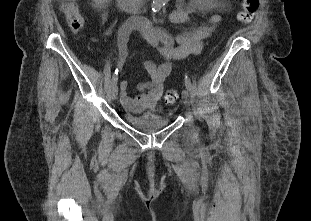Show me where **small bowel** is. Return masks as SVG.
Here are the masks:
<instances>
[{
    "instance_id": "small-bowel-1",
    "label": "small bowel",
    "mask_w": 311,
    "mask_h": 221,
    "mask_svg": "<svg viewBox=\"0 0 311 221\" xmlns=\"http://www.w3.org/2000/svg\"><path fill=\"white\" fill-rule=\"evenodd\" d=\"M196 10L197 8L194 5L179 0L176 9L167 15L166 20L174 24H191V13ZM108 16L109 10L104 9L101 14L102 25L106 22ZM159 20H147L149 23L146 27L137 29L141 31L143 39L148 44L157 48L159 55L165 61L159 64L151 61L144 62L143 66L150 76V80L138 84V90L141 94L137 97H131L128 94V82L126 80L120 82L122 103L133 113H139L144 109L158 108L163 93L164 81L173 69V61L200 54L203 50V40L219 25L221 17L212 15L206 18L202 25L191 27L176 36H171L154 28V24ZM134 29L132 23H130L125 25L119 33L118 50L121 63L125 61L127 56L126 42L128 35Z\"/></svg>"
}]
</instances>
